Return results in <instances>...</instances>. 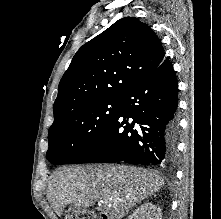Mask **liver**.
<instances>
[{
  "instance_id": "liver-1",
  "label": "liver",
  "mask_w": 221,
  "mask_h": 219,
  "mask_svg": "<svg viewBox=\"0 0 221 219\" xmlns=\"http://www.w3.org/2000/svg\"><path fill=\"white\" fill-rule=\"evenodd\" d=\"M163 185L158 174L132 166H71L56 170L48 199L58 216L68 204L88 208L100 199L111 218L121 219Z\"/></svg>"
}]
</instances>
